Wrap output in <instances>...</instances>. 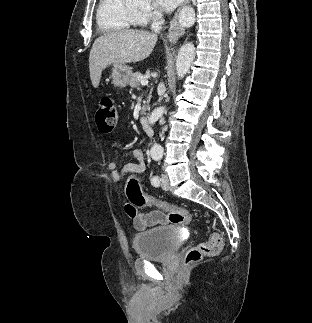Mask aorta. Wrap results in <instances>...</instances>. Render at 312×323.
Wrapping results in <instances>:
<instances>
[{
  "label": "aorta",
  "instance_id": "762f6f07",
  "mask_svg": "<svg viewBox=\"0 0 312 323\" xmlns=\"http://www.w3.org/2000/svg\"><path fill=\"white\" fill-rule=\"evenodd\" d=\"M194 58L195 48L192 42H189V44H184V46H181L176 60V72L178 78H184L185 74L189 72L190 66ZM165 112V108H157V110H153L149 118V124L153 126V124H155V122H158L159 118H161V116H163ZM153 150H155V152H160V154L162 152V148L161 146H158V144H156V146H153Z\"/></svg>",
  "mask_w": 312,
  "mask_h": 323
}]
</instances>
